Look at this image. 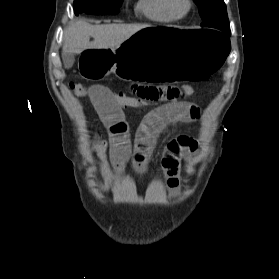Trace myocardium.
I'll list each match as a JSON object with an SVG mask.
<instances>
[{
	"instance_id": "obj_1",
	"label": "myocardium",
	"mask_w": 279,
	"mask_h": 279,
	"mask_svg": "<svg viewBox=\"0 0 279 279\" xmlns=\"http://www.w3.org/2000/svg\"><path fill=\"white\" fill-rule=\"evenodd\" d=\"M183 1L186 4V8L184 10H180L178 4L181 2V0H168V9L175 18H184L188 16L194 8L193 0Z\"/></svg>"
}]
</instances>
